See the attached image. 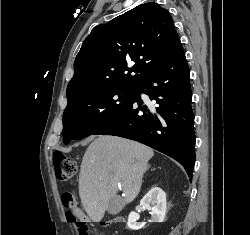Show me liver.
I'll use <instances>...</instances> for the list:
<instances>
[{
    "label": "liver",
    "mask_w": 250,
    "mask_h": 235,
    "mask_svg": "<svg viewBox=\"0 0 250 235\" xmlns=\"http://www.w3.org/2000/svg\"><path fill=\"white\" fill-rule=\"evenodd\" d=\"M151 148L117 136L102 135L87 148L80 169L79 195L84 210L93 222H100L109 201L117 197L118 187L125 194L123 204L139 194Z\"/></svg>",
    "instance_id": "6515ba94"
}]
</instances>
